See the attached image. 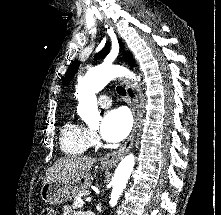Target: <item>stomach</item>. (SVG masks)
I'll use <instances>...</instances> for the list:
<instances>
[{"label": "stomach", "instance_id": "0dacf381", "mask_svg": "<svg viewBox=\"0 0 221 215\" xmlns=\"http://www.w3.org/2000/svg\"><path fill=\"white\" fill-rule=\"evenodd\" d=\"M93 177L85 173L68 182L50 181L43 184L40 196L43 201L51 205H58L70 201L80 192L87 190L92 184Z\"/></svg>", "mask_w": 221, "mask_h": 215}]
</instances>
